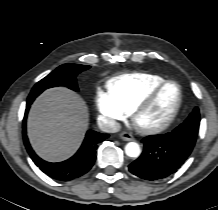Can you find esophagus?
Masks as SVG:
<instances>
[{
  "label": "esophagus",
  "mask_w": 218,
  "mask_h": 210,
  "mask_svg": "<svg viewBox=\"0 0 218 210\" xmlns=\"http://www.w3.org/2000/svg\"><path fill=\"white\" fill-rule=\"evenodd\" d=\"M119 136L124 141H132V140H134L133 136L130 133H128V132H122Z\"/></svg>",
  "instance_id": "1"
}]
</instances>
